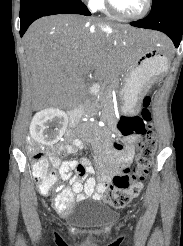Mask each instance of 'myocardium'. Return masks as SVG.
Masks as SVG:
<instances>
[{
  "instance_id": "f54148a6",
  "label": "myocardium",
  "mask_w": 183,
  "mask_h": 246,
  "mask_svg": "<svg viewBox=\"0 0 183 246\" xmlns=\"http://www.w3.org/2000/svg\"><path fill=\"white\" fill-rule=\"evenodd\" d=\"M152 2L153 0H145L144 8L136 15H124L120 13L114 6L112 0H105V5L108 12L111 13L114 17L125 21H135L145 17L148 14L151 9Z\"/></svg>"
}]
</instances>
